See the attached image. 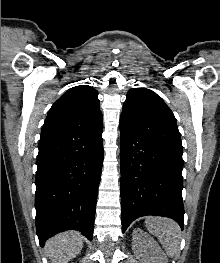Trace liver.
I'll use <instances>...</instances> for the list:
<instances>
[{"label": "liver", "mask_w": 220, "mask_h": 263, "mask_svg": "<svg viewBox=\"0 0 220 263\" xmlns=\"http://www.w3.org/2000/svg\"><path fill=\"white\" fill-rule=\"evenodd\" d=\"M83 247V236L78 231L55 235L46 242L45 250L52 263H67L75 258Z\"/></svg>", "instance_id": "1"}]
</instances>
